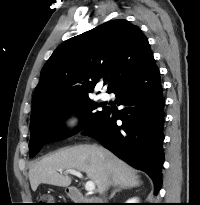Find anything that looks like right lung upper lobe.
I'll use <instances>...</instances> for the list:
<instances>
[{
	"mask_svg": "<svg viewBox=\"0 0 200 205\" xmlns=\"http://www.w3.org/2000/svg\"><path fill=\"white\" fill-rule=\"evenodd\" d=\"M154 60L138 26L111 20L58 46L40 74L30 120L49 103L89 96L102 77L108 92L138 74Z\"/></svg>",
	"mask_w": 200,
	"mask_h": 205,
	"instance_id": "obj_1",
	"label": "right lung upper lobe"
}]
</instances>
